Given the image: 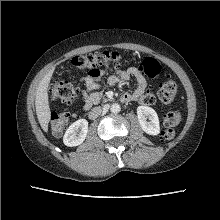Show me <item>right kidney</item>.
Instances as JSON below:
<instances>
[{
    "label": "right kidney",
    "instance_id": "obj_1",
    "mask_svg": "<svg viewBox=\"0 0 220 220\" xmlns=\"http://www.w3.org/2000/svg\"><path fill=\"white\" fill-rule=\"evenodd\" d=\"M88 133V122L86 119H79L72 123L66 130L63 143L66 146L73 147L83 143Z\"/></svg>",
    "mask_w": 220,
    "mask_h": 220
}]
</instances>
